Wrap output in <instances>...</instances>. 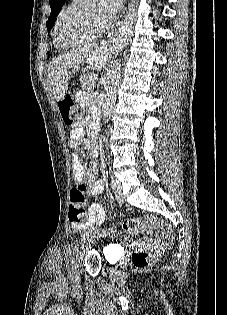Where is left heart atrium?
Segmentation results:
<instances>
[{"instance_id":"obj_1","label":"left heart atrium","mask_w":227,"mask_h":315,"mask_svg":"<svg viewBox=\"0 0 227 315\" xmlns=\"http://www.w3.org/2000/svg\"><path fill=\"white\" fill-rule=\"evenodd\" d=\"M124 0H97L106 26L109 25L121 9Z\"/></svg>"}]
</instances>
